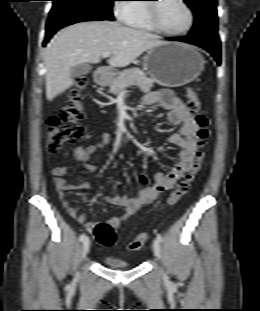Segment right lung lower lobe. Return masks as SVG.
<instances>
[{
    "label": "right lung lower lobe",
    "instance_id": "obj_1",
    "mask_svg": "<svg viewBox=\"0 0 260 311\" xmlns=\"http://www.w3.org/2000/svg\"><path fill=\"white\" fill-rule=\"evenodd\" d=\"M95 20H109V19L97 15L67 10H61L55 13L50 12L46 25V37L43 42V46L46 45V43L49 41V39L53 36V34L57 30L77 22L95 21Z\"/></svg>",
    "mask_w": 260,
    "mask_h": 311
}]
</instances>
